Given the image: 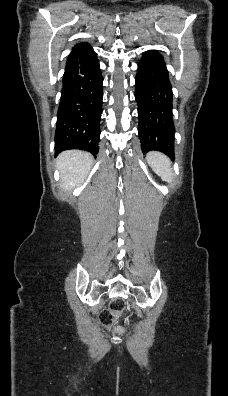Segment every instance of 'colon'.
Masks as SVG:
<instances>
[{
    "label": "colon",
    "instance_id": "5ec220e1",
    "mask_svg": "<svg viewBox=\"0 0 228 396\" xmlns=\"http://www.w3.org/2000/svg\"><path fill=\"white\" fill-rule=\"evenodd\" d=\"M124 307L125 304L122 299H113L109 304L108 310H105L100 314L101 324L105 327L113 326L116 315L122 313Z\"/></svg>",
    "mask_w": 228,
    "mask_h": 396
}]
</instances>
